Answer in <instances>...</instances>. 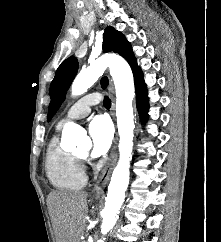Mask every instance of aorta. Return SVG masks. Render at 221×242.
<instances>
[{
  "label": "aorta",
  "instance_id": "1",
  "mask_svg": "<svg viewBox=\"0 0 221 242\" xmlns=\"http://www.w3.org/2000/svg\"><path fill=\"white\" fill-rule=\"evenodd\" d=\"M109 68L116 91V116L119 132V161L112 173L108 186L101 233L105 235L117 221L119 210L125 199V191L130 178V161L133 150L134 116L132 101L135 95L134 79L129 64L121 57L107 55L98 58L88 68L82 70L74 79L72 96L84 94ZM63 139L71 148L91 147V141L80 126L72 122L63 129ZM98 242H104V238Z\"/></svg>",
  "mask_w": 221,
  "mask_h": 242
}]
</instances>
